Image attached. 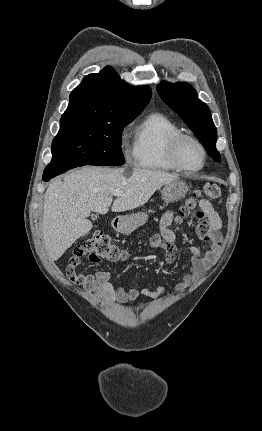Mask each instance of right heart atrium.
<instances>
[{"instance_id":"right-heart-atrium-1","label":"right heart atrium","mask_w":262,"mask_h":431,"mask_svg":"<svg viewBox=\"0 0 262 431\" xmlns=\"http://www.w3.org/2000/svg\"><path fill=\"white\" fill-rule=\"evenodd\" d=\"M120 144H121V148L123 150L125 157L127 159H129L130 158V150L128 147L127 136H126L125 132L122 133V135H121Z\"/></svg>"}]
</instances>
